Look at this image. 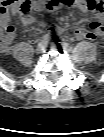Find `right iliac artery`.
I'll list each match as a JSON object with an SVG mask.
<instances>
[{
  "label": "right iliac artery",
  "mask_w": 104,
  "mask_h": 137,
  "mask_svg": "<svg viewBox=\"0 0 104 137\" xmlns=\"http://www.w3.org/2000/svg\"><path fill=\"white\" fill-rule=\"evenodd\" d=\"M49 40V38L47 37V36H44L43 38H42V42H47Z\"/></svg>",
  "instance_id": "right-iliac-artery-1"
}]
</instances>
